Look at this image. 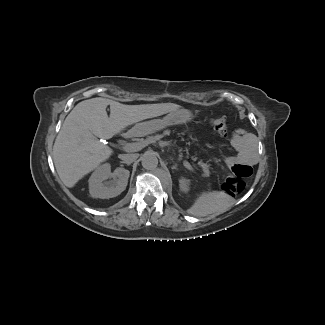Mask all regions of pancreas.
<instances>
[{
	"label": "pancreas",
	"instance_id": "cf45deb5",
	"mask_svg": "<svg viewBox=\"0 0 325 325\" xmlns=\"http://www.w3.org/2000/svg\"><path fill=\"white\" fill-rule=\"evenodd\" d=\"M160 132H165L169 140L179 141L183 154L196 163V166L201 170L203 175H208L210 173L208 161L201 156V153L196 148V144L189 137L171 128L162 129ZM152 133L157 134L158 132L153 131Z\"/></svg>",
	"mask_w": 325,
	"mask_h": 325
}]
</instances>
